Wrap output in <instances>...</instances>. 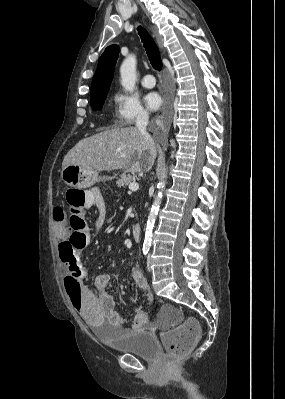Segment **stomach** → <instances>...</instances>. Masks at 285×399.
Here are the masks:
<instances>
[{
	"label": "stomach",
	"mask_w": 285,
	"mask_h": 399,
	"mask_svg": "<svg viewBox=\"0 0 285 399\" xmlns=\"http://www.w3.org/2000/svg\"><path fill=\"white\" fill-rule=\"evenodd\" d=\"M61 178L66 185L76 189L88 188L98 180L96 174L78 165H67L63 167Z\"/></svg>",
	"instance_id": "0dacf381"
}]
</instances>
